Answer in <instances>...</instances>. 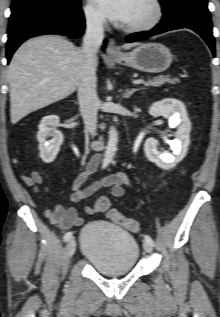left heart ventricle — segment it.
<instances>
[{
    "instance_id": "b2bd125f",
    "label": "left heart ventricle",
    "mask_w": 220,
    "mask_h": 317,
    "mask_svg": "<svg viewBox=\"0 0 220 317\" xmlns=\"http://www.w3.org/2000/svg\"><path fill=\"white\" fill-rule=\"evenodd\" d=\"M153 14V8L148 0H133L129 17L124 25H133L147 21Z\"/></svg>"
}]
</instances>
